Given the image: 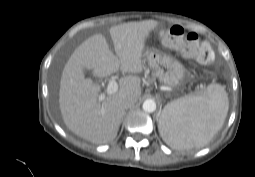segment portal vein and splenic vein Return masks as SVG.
<instances>
[{"label":"portal vein and splenic vein","mask_w":255,"mask_h":177,"mask_svg":"<svg viewBox=\"0 0 255 177\" xmlns=\"http://www.w3.org/2000/svg\"><path fill=\"white\" fill-rule=\"evenodd\" d=\"M118 91V84L114 78L109 80L107 89H106V94L107 95H112ZM105 94H100L99 100H104Z\"/></svg>","instance_id":"18ae733b"}]
</instances>
